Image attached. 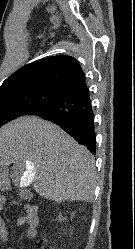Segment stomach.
Wrapping results in <instances>:
<instances>
[{"mask_svg":"<svg viewBox=\"0 0 135 249\" xmlns=\"http://www.w3.org/2000/svg\"><path fill=\"white\" fill-rule=\"evenodd\" d=\"M0 179H3V177L0 176ZM4 181H6L5 179H3Z\"/></svg>","mask_w":135,"mask_h":249,"instance_id":"stomach-1","label":"stomach"}]
</instances>
